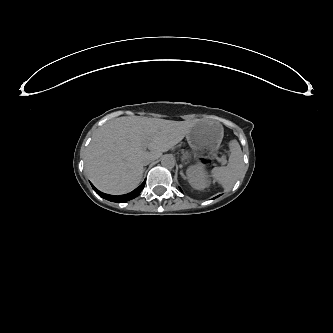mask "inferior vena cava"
Masks as SVG:
<instances>
[{
	"label": "inferior vena cava",
	"mask_w": 333,
	"mask_h": 333,
	"mask_svg": "<svg viewBox=\"0 0 333 333\" xmlns=\"http://www.w3.org/2000/svg\"><path fill=\"white\" fill-rule=\"evenodd\" d=\"M152 160H154V159H153V158H146V159H144V160H143V165H144V166L148 165L149 163L152 162Z\"/></svg>",
	"instance_id": "602c4592"
}]
</instances>
